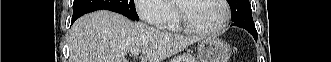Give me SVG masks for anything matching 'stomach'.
Instances as JSON below:
<instances>
[{"label": "stomach", "instance_id": "1", "mask_svg": "<svg viewBox=\"0 0 331 62\" xmlns=\"http://www.w3.org/2000/svg\"><path fill=\"white\" fill-rule=\"evenodd\" d=\"M231 47L217 37H207L198 46L199 62H227L231 56Z\"/></svg>", "mask_w": 331, "mask_h": 62}]
</instances>
